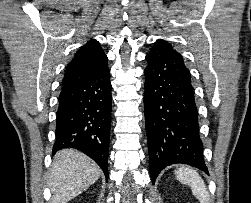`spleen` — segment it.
Masks as SVG:
<instances>
[{
	"instance_id": "obj_1",
	"label": "spleen",
	"mask_w": 251,
	"mask_h": 203,
	"mask_svg": "<svg viewBox=\"0 0 251 203\" xmlns=\"http://www.w3.org/2000/svg\"><path fill=\"white\" fill-rule=\"evenodd\" d=\"M175 176L182 184H187L191 188L193 195L200 203H209L204 181L194 169L182 166L175 171Z\"/></svg>"
}]
</instances>
